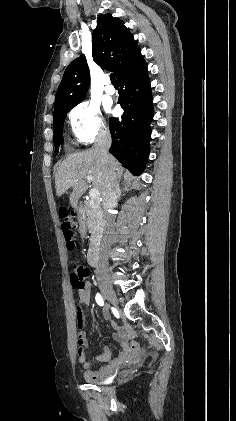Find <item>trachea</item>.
Instances as JSON below:
<instances>
[{
	"label": "trachea",
	"mask_w": 236,
	"mask_h": 421,
	"mask_svg": "<svg viewBox=\"0 0 236 421\" xmlns=\"http://www.w3.org/2000/svg\"><path fill=\"white\" fill-rule=\"evenodd\" d=\"M110 80H111L112 83H117V80H116V77H115L114 73L110 74Z\"/></svg>",
	"instance_id": "1"
}]
</instances>
